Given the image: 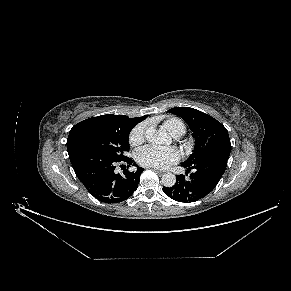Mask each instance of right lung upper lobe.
<instances>
[{"mask_svg":"<svg viewBox=\"0 0 291 291\" xmlns=\"http://www.w3.org/2000/svg\"><path fill=\"white\" fill-rule=\"evenodd\" d=\"M147 117L148 115L129 118L123 115L107 114L86 119L73 126L70 130L67 139L68 154L82 148L80 142L83 137L89 133L110 128L132 129L135 125L145 120Z\"/></svg>","mask_w":291,"mask_h":291,"instance_id":"obj_1","label":"right lung upper lobe"}]
</instances>
